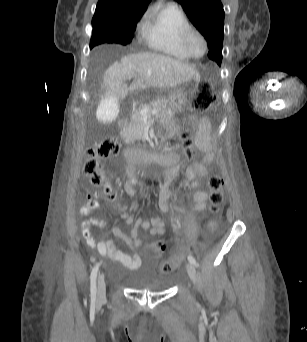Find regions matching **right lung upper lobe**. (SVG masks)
Segmentation results:
<instances>
[{
    "instance_id": "1",
    "label": "right lung upper lobe",
    "mask_w": 307,
    "mask_h": 342,
    "mask_svg": "<svg viewBox=\"0 0 307 342\" xmlns=\"http://www.w3.org/2000/svg\"><path fill=\"white\" fill-rule=\"evenodd\" d=\"M151 0H100L92 19L94 29L134 32Z\"/></svg>"
}]
</instances>
